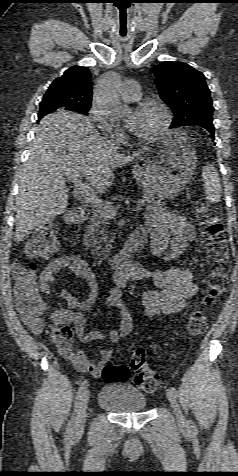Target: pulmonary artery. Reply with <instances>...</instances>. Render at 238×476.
Masks as SVG:
<instances>
[{"mask_svg": "<svg viewBox=\"0 0 238 476\" xmlns=\"http://www.w3.org/2000/svg\"><path fill=\"white\" fill-rule=\"evenodd\" d=\"M122 99L126 102H134L141 97V87L135 80H127L123 83Z\"/></svg>", "mask_w": 238, "mask_h": 476, "instance_id": "e3ab8cb5", "label": "pulmonary artery"}]
</instances>
